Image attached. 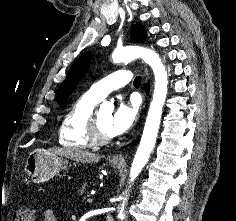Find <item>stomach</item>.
<instances>
[{"mask_svg":"<svg viewBox=\"0 0 236 221\" xmlns=\"http://www.w3.org/2000/svg\"><path fill=\"white\" fill-rule=\"evenodd\" d=\"M67 160L43 149H37L29 154L25 163V172L35 183H42L53 178L61 169H67ZM114 169L121 164L111 163Z\"/></svg>","mask_w":236,"mask_h":221,"instance_id":"0dacf381","label":"stomach"}]
</instances>
